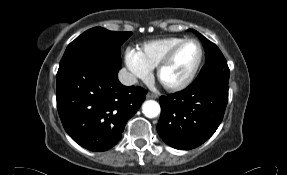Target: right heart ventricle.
<instances>
[{
  "label": "right heart ventricle",
  "instance_id": "obj_1",
  "mask_svg": "<svg viewBox=\"0 0 287 175\" xmlns=\"http://www.w3.org/2000/svg\"><path fill=\"white\" fill-rule=\"evenodd\" d=\"M181 37H167L151 40L141 44L137 53L141 61L150 69H155L165 55L178 43L182 42Z\"/></svg>",
  "mask_w": 287,
  "mask_h": 175
}]
</instances>
